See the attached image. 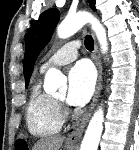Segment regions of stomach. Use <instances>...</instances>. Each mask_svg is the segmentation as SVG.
<instances>
[{"instance_id": "stomach-1", "label": "stomach", "mask_w": 139, "mask_h": 150, "mask_svg": "<svg viewBox=\"0 0 139 150\" xmlns=\"http://www.w3.org/2000/svg\"><path fill=\"white\" fill-rule=\"evenodd\" d=\"M66 149H67V150H71L72 147H71V146H66Z\"/></svg>"}]
</instances>
